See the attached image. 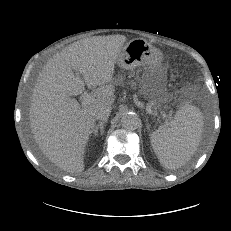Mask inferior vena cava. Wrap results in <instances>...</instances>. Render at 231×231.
<instances>
[{"instance_id": "1", "label": "inferior vena cava", "mask_w": 231, "mask_h": 231, "mask_svg": "<svg viewBox=\"0 0 231 231\" xmlns=\"http://www.w3.org/2000/svg\"><path fill=\"white\" fill-rule=\"evenodd\" d=\"M112 107L109 105H105L97 109L95 113V117L97 120L100 121H107L110 113H111Z\"/></svg>"}]
</instances>
